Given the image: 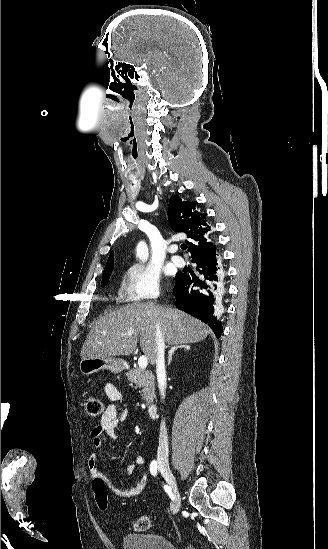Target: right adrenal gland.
I'll list each match as a JSON object with an SVG mask.
<instances>
[{
  "mask_svg": "<svg viewBox=\"0 0 328 549\" xmlns=\"http://www.w3.org/2000/svg\"><path fill=\"white\" fill-rule=\"evenodd\" d=\"M178 349H185V351H190V345H180V347H172L171 351H168V365H170L172 361L173 353H175V351H178Z\"/></svg>",
  "mask_w": 328,
  "mask_h": 549,
  "instance_id": "right-adrenal-gland-1",
  "label": "right adrenal gland"
}]
</instances>
